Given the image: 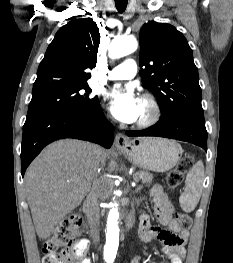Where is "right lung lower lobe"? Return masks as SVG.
I'll list each match as a JSON object with an SVG mask.
<instances>
[{"label": "right lung lower lobe", "instance_id": "98d812e1", "mask_svg": "<svg viewBox=\"0 0 233 263\" xmlns=\"http://www.w3.org/2000/svg\"><path fill=\"white\" fill-rule=\"evenodd\" d=\"M61 138H76L110 148L114 131L101 109L99 100L83 110L55 113L25 121L21 148V173L49 143Z\"/></svg>", "mask_w": 233, "mask_h": 263}]
</instances>
